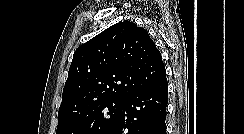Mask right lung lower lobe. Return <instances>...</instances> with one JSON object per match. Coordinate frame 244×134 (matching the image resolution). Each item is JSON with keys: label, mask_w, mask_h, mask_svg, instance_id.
<instances>
[{"label": "right lung lower lobe", "mask_w": 244, "mask_h": 134, "mask_svg": "<svg viewBox=\"0 0 244 134\" xmlns=\"http://www.w3.org/2000/svg\"><path fill=\"white\" fill-rule=\"evenodd\" d=\"M168 84H156L129 96L118 118L104 134H166Z\"/></svg>", "instance_id": "1"}]
</instances>
